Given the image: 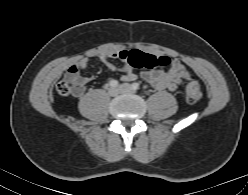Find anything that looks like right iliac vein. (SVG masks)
<instances>
[{
  "label": "right iliac vein",
  "mask_w": 248,
  "mask_h": 195,
  "mask_svg": "<svg viewBox=\"0 0 248 195\" xmlns=\"http://www.w3.org/2000/svg\"><path fill=\"white\" fill-rule=\"evenodd\" d=\"M120 90L116 87H111L109 90H108V93L110 96H117L119 94Z\"/></svg>",
  "instance_id": "63e3f726"
}]
</instances>
